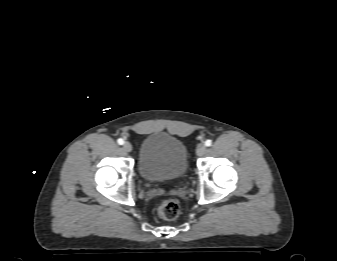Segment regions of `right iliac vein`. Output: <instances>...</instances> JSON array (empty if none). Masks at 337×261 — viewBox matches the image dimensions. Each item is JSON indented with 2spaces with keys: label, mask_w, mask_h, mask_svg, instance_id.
<instances>
[{
  "label": "right iliac vein",
  "mask_w": 337,
  "mask_h": 261,
  "mask_svg": "<svg viewBox=\"0 0 337 261\" xmlns=\"http://www.w3.org/2000/svg\"><path fill=\"white\" fill-rule=\"evenodd\" d=\"M123 149H124V151H126V152H131V151H132V145H131V143L125 142V143L123 144Z\"/></svg>",
  "instance_id": "63e3f726"
}]
</instances>
